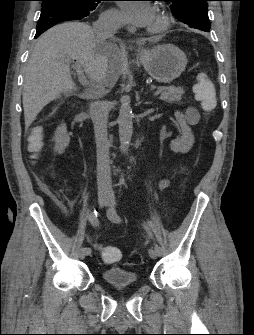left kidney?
Listing matches in <instances>:
<instances>
[{
	"instance_id": "1",
	"label": "left kidney",
	"mask_w": 254,
	"mask_h": 335,
	"mask_svg": "<svg viewBox=\"0 0 254 335\" xmlns=\"http://www.w3.org/2000/svg\"><path fill=\"white\" fill-rule=\"evenodd\" d=\"M174 116L181 127L182 136L173 140L170 143V148L175 153L185 154L190 151L195 142L194 135L191 128L187 125L185 116L183 113L176 111Z\"/></svg>"
}]
</instances>
